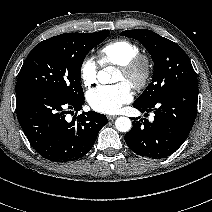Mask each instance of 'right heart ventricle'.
I'll list each match as a JSON object with an SVG mask.
<instances>
[{
    "label": "right heart ventricle",
    "instance_id": "right-heart-ventricle-1",
    "mask_svg": "<svg viewBox=\"0 0 212 212\" xmlns=\"http://www.w3.org/2000/svg\"><path fill=\"white\" fill-rule=\"evenodd\" d=\"M139 54L136 44L125 39H116L103 45L97 52L102 65H122Z\"/></svg>",
    "mask_w": 212,
    "mask_h": 212
}]
</instances>
